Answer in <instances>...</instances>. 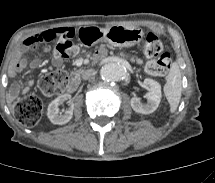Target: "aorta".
I'll return each mask as SVG.
<instances>
[{
    "instance_id": "1",
    "label": "aorta",
    "mask_w": 215,
    "mask_h": 183,
    "mask_svg": "<svg viewBox=\"0 0 215 183\" xmlns=\"http://www.w3.org/2000/svg\"><path fill=\"white\" fill-rule=\"evenodd\" d=\"M127 74L126 68L119 63H107L100 69V76L106 81H120Z\"/></svg>"
}]
</instances>
